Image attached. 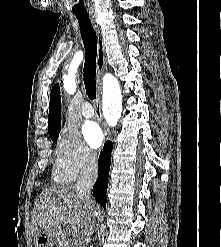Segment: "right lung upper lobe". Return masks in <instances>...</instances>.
<instances>
[{
    "mask_svg": "<svg viewBox=\"0 0 221 247\" xmlns=\"http://www.w3.org/2000/svg\"><path fill=\"white\" fill-rule=\"evenodd\" d=\"M61 98L59 84L50 93L48 133L51 138L58 137L61 129Z\"/></svg>",
    "mask_w": 221,
    "mask_h": 247,
    "instance_id": "1",
    "label": "right lung upper lobe"
}]
</instances>
